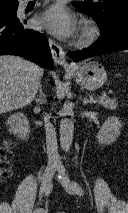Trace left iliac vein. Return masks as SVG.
I'll return each instance as SVG.
<instances>
[{"label": "left iliac vein", "mask_w": 128, "mask_h": 213, "mask_svg": "<svg viewBox=\"0 0 128 213\" xmlns=\"http://www.w3.org/2000/svg\"><path fill=\"white\" fill-rule=\"evenodd\" d=\"M59 172L61 174V177L59 179L61 185L65 188V190L71 194L74 195L76 193L75 189H74V185L71 182V180L66 176L65 171L63 168L59 169Z\"/></svg>", "instance_id": "left-iliac-vein-1"}]
</instances>
